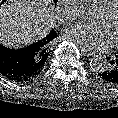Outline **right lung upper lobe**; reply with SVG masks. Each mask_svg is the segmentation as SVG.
<instances>
[{
  "label": "right lung upper lobe",
  "mask_w": 118,
  "mask_h": 118,
  "mask_svg": "<svg viewBox=\"0 0 118 118\" xmlns=\"http://www.w3.org/2000/svg\"><path fill=\"white\" fill-rule=\"evenodd\" d=\"M56 36L57 34L52 30L46 38L30 45V48L35 52L37 70H43L46 59L49 55L50 43Z\"/></svg>",
  "instance_id": "right-lung-upper-lobe-1"
}]
</instances>
